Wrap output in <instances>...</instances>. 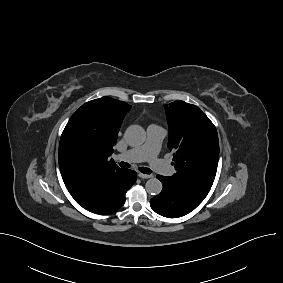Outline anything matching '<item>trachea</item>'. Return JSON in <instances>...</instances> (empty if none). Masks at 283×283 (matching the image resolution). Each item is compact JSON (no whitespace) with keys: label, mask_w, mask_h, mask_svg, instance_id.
Here are the masks:
<instances>
[{"label":"trachea","mask_w":283,"mask_h":283,"mask_svg":"<svg viewBox=\"0 0 283 283\" xmlns=\"http://www.w3.org/2000/svg\"><path fill=\"white\" fill-rule=\"evenodd\" d=\"M119 166L121 168H129L130 167V165L127 162H123V161L119 162ZM139 170H140V172H142L144 174H151L152 173L151 169H149L147 167H140Z\"/></svg>","instance_id":"trachea-1"}]
</instances>
